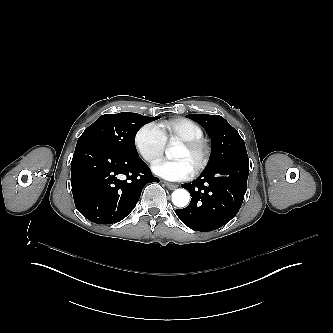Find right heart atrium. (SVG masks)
<instances>
[{
	"label": "right heart atrium",
	"mask_w": 333,
	"mask_h": 333,
	"mask_svg": "<svg viewBox=\"0 0 333 333\" xmlns=\"http://www.w3.org/2000/svg\"><path fill=\"white\" fill-rule=\"evenodd\" d=\"M166 139L157 125H144L134 138V146L141 158L152 168L162 158Z\"/></svg>",
	"instance_id": "obj_1"
}]
</instances>
